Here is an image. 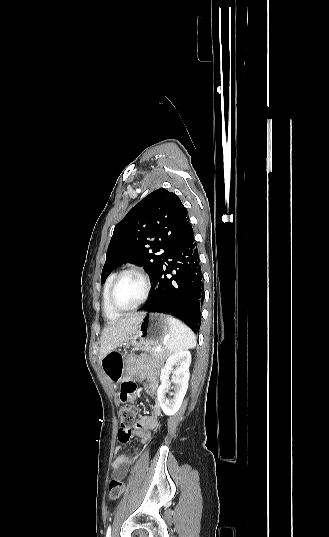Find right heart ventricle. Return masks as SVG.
<instances>
[{"label": "right heart ventricle", "mask_w": 329, "mask_h": 537, "mask_svg": "<svg viewBox=\"0 0 329 537\" xmlns=\"http://www.w3.org/2000/svg\"><path fill=\"white\" fill-rule=\"evenodd\" d=\"M116 273H111L104 286H103V291H102V307H103V310H104V313L106 315L107 318L109 319H115L117 317L120 316V313L114 311L110 305H109V301H108V294H109V289H110V286L114 280V278L116 277Z\"/></svg>", "instance_id": "e07e8e85"}]
</instances>
